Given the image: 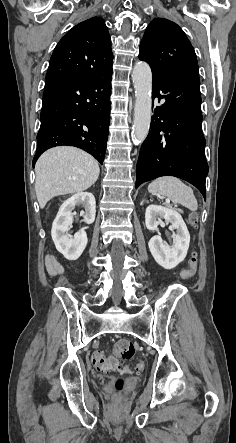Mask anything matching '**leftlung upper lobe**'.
I'll return each instance as SVG.
<instances>
[{
  "mask_svg": "<svg viewBox=\"0 0 236 443\" xmlns=\"http://www.w3.org/2000/svg\"><path fill=\"white\" fill-rule=\"evenodd\" d=\"M139 59L146 61L152 74L186 72L198 74L195 51L182 29L165 18L148 25L140 44Z\"/></svg>",
  "mask_w": 236,
  "mask_h": 443,
  "instance_id": "1",
  "label": "left lung upper lobe"
}]
</instances>
